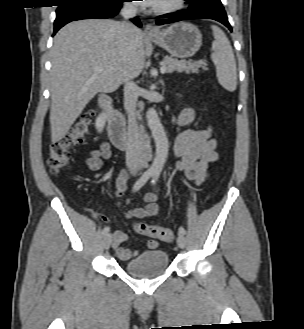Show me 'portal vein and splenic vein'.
<instances>
[{
	"label": "portal vein and splenic vein",
	"mask_w": 304,
	"mask_h": 329,
	"mask_svg": "<svg viewBox=\"0 0 304 329\" xmlns=\"http://www.w3.org/2000/svg\"><path fill=\"white\" fill-rule=\"evenodd\" d=\"M95 70V72H100L101 71V69L100 68H95L94 69ZM166 70H167V67H166V65H162V67L160 68V71H161V73H165L166 72Z\"/></svg>",
	"instance_id": "1"
}]
</instances>
